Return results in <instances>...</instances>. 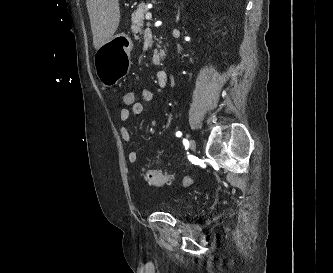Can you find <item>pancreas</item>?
<instances>
[{
    "instance_id": "pancreas-1",
    "label": "pancreas",
    "mask_w": 333,
    "mask_h": 273,
    "mask_svg": "<svg viewBox=\"0 0 333 273\" xmlns=\"http://www.w3.org/2000/svg\"><path fill=\"white\" fill-rule=\"evenodd\" d=\"M147 11H148L147 4L142 3L138 6V8L132 14L131 30L134 34H138V33L144 34L145 33V31L142 30V27H143L144 16H145ZM163 56H164V51L163 50H160V53L158 51H155L154 55H153V63L155 65H159L160 60L162 59Z\"/></svg>"
}]
</instances>
